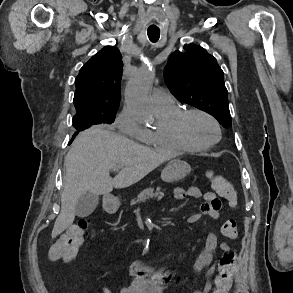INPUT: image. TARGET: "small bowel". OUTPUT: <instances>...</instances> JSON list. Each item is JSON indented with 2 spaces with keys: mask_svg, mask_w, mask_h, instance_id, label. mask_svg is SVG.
I'll use <instances>...</instances> for the list:
<instances>
[{
  "mask_svg": "<svg viewBox=\"0 0 293 293\" xmlns=\"http://www.w3.org/2000/svg\"><path fill=\"white\" fill-rule=\"evenodd\" d=\"M176 200H185L186 198H203L200 206V212L191 214L187 217L188 223H196L202 215L217 220L220 217L221 201L213 191L203 193L198 187L176 188L173 192ZM217 248L228 250L229 246L225 243H219L215 232H210L204 244L203 249L194 262V269L198 272L206 269V281L201 290L194 293H210L212 289V276L215 273V267L212 265L213 254ZM129 275L134 283L131 286H120L117 291L109 288H102L100 293H166L173 274L168 269H155L144 266L140 261H134L129 269Z\"/></svg>",
  "mask_w": 293,
  "mask_h": 293,
  "instance_id": "obj_1",
  "label": "small bowel"
}]
</instances>
